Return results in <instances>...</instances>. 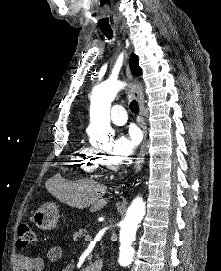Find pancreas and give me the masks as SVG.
<instances>
[{"mask_svg":"<svg viewBox=\"0 0 221 271\" xmlns=\"http://www.w3.org/2000/svg\"><path fill=\"white\" fill-rule=\"evenodd\" d=\"M87 234H89L87 229H78V231H75V233H73V237L71 240L72 242H83L82 235H86L87 239Z\"/></svg>","mask_w":221,"mask_h":271,"instance_id":"1","label":"pancreas"}]
</instances>
